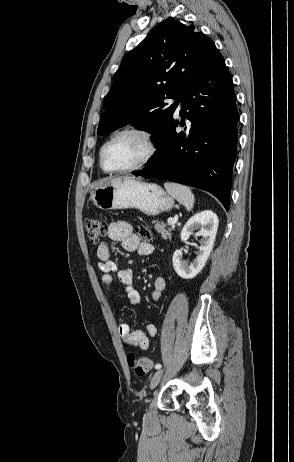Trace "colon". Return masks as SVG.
I'll list each match as a JSON object with an SVG mask.
<instances>
[{
    "label": "colon",
    "mask_w": 294,
    "mask_h": 462,
    "mask_svg": "<svg viewBox=\"0 0 294 462\" xmlns=\"http://www.w3.org/2000/svg\"><path fill=\"white\" fill-rule=\"evenodd\" d=\"M86 234L91 244H98L104 237L107 230V223L100 217H88L85 220ZM137 233L144 241L151 240V232L147 227L137 228ZM128 363L133 369L134 373L138 376L147 374L151 369V360L136 352H130L128 355Z\"/></svg>",
    "instance_id": "colon-1"
}]
</instances>
